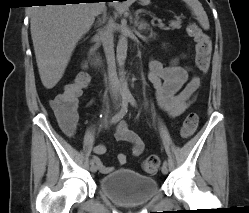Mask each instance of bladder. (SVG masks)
<instances>
[{
    "mask_svg": "<svg viewBox=\"0 0 249 213\" xmlns=\"http://www.w3.org/2000/svg\"><path fill=\"white\" fill-rule=\"evenodd\" d=\"M99 189L119 205L136 206L152 198L158 184L153 177L124 168L101 177Z\"/></svg>",
    "mask_w": 249,
    "mask_h": 213,
    "instance_id": "bladder-1",
    "label": "bladder"
}]
</instances>
